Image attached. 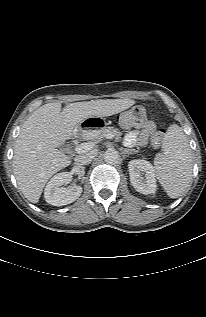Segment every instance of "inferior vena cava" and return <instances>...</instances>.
<instances>
[{"label": "inferior vena cava", "mask_w": 206, "mask_h": 317, "mask_svg": "<svg viewBox=\"0 0 206 317\" xmlns=\"http://www.w3.org/2000/svg\"><path fill=\"white\" fill-rule=\"evenodd\" d=\"M95 156H96V153L94 151H90V152L82 153L78 155L75 158V161L77 164L86 165L90 163L94 159Z\"/></svg>", "instance_id": "inferior-vena-cava-1"}]
</instances>
